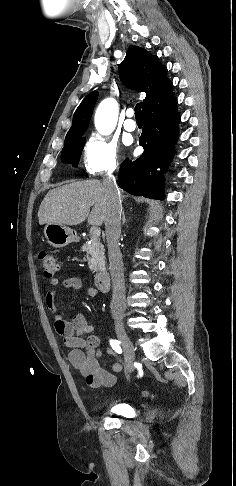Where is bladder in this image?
I'll return each mask as SVG.
<instances>
[{"label":"bladder","mask_w":236,"mask_h":486,"mask_svg":"<svg viewBox=\"0 0 236 486\" xmlns=\"http://www.w3.org/2000/svg\"><path fill=\"white\" fill-rule=\"evenodd\" d=\"M109 411L122 417H131L135 411V408L131 404L121 402L113 404Z\"/></svg>","instance_id":"obj_1"}]
</instances>
